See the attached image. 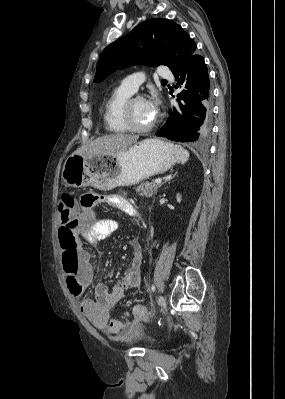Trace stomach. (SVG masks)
Returning <instances> with one entry per match:
<instances>
[{"mask_svg":"<svg viewBox=\"0 0 285 399\" xmlns=\"http://www.w3.org/2000/svg\"><path fill=\"white\" fill-rule=\"evenodd\" d=\"M171 144L148 139L116 155L72 154L65 160L62 180L67 186L110 190L168 171L176 163Z\"/></svg>","mask_w":285,"mask_h":399,"instance_id":"1","label":"stomach"}]
</instances>
